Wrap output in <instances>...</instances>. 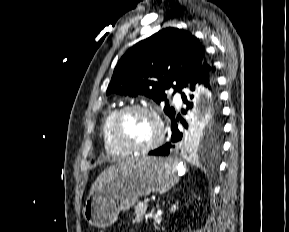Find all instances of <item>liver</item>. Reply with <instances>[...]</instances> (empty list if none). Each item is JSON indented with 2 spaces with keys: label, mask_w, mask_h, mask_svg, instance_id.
<instances>
[{
  "label": "liver",
  "mask_w": 289,
  "mask_h": 232,
  "mask_svg": "<svg viewBox=\"0 0 289 232\" xmlns=\"http://www.w3.org/2000/svg\"><path fill=\"white\" fill-rule=\"evenodd\" d=\"M136 161H138V159L128 160L118 165H113L104 170L92 184L90 189V195L99 190L108 180L112 179L116 173L126 171L128 167Z\"/></svg>",
  "instance_id": "6515ba94"
}]
</instances>
